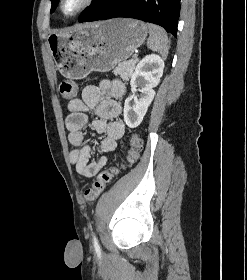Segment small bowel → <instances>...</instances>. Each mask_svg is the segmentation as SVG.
Here are the masks:
<instances>
[{"instance_id": "obj_1", "label": "small bowel", "mask_w": 247, "mask_h": 280, "mask_svg": "<svg viewBox=\"0 0 247 280\" xmlns=\"http://www.w3.org/2000/svg\"><path fill=\"white\" fill-rule=\"evenodd\" d=\"M126 86L120 80L103 79L98 85H87L82 89L81 98L68 103L69 114L65 125L69 132L68 141L74 147L69 159L75 165L79 175L86 178L96 176L107 164L108 154L117 147V142L125 134V125L119 120L121 104ZM92 110L95 119L91 125L95 132L104 134L101 142L100 156L96 161H90L92 144L87 142L83 132L88 123L87 112Z\"/></svg>"}]
</instances>
